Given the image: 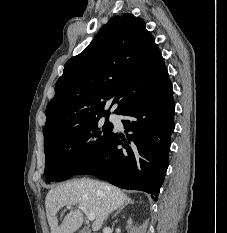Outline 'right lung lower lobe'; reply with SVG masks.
Instances as JSON below:
<instances>
[{"mask_svg": "<svg viewBox=\"0 0 227 233\" xmlns=\"http://www.w3.org/2000/svg\"><path fill=\"white\" fill-rule=\"evenodd\" d=\"M175 105L170 79L120 115L124 135L113 132L98 156L77 174H92L124 189L141 190L157 200L168 167ZM121 146V147H120Z\"/></svg>", "mask_w": 227, "mask_h": 233, "instance_id": "obj_1", "label": "right lung lower lobe"}]
</instances>
